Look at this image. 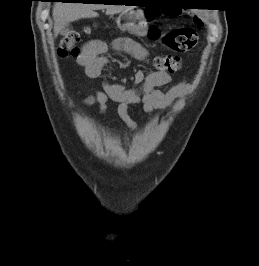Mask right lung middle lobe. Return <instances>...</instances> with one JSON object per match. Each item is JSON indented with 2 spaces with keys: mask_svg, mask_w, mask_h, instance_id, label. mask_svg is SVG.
<instances>
[{
  "mask_svg": "<svg viewBox=\"0 0 259 266\" xmlns=\"http://www.w3.org/2000/svg\"><path fill=\"white\" fill-rule=\"evenodd\" d=\"M63 1H71V0H63ZM63 1H62V2H63Z\"/></svg>",
  "mask_w": 259,
  "mask_h": 266,
  "instance_id": "obj_1",
  "label": "right lung middle lobe"
}]
</instances>
